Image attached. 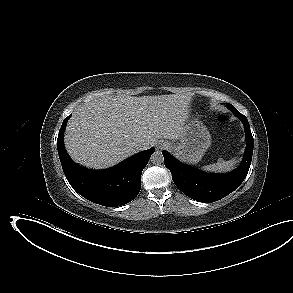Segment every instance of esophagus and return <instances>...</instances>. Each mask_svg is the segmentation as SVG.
<instances>
[{"instance_id":"34e87169","label":"esophagus","mask_w":293,"mask_h":293,"mask_svg":"<svg viewBox=\"0 0 293 293\" xmlns=\"http://www.w3.org/2000/svg\"><path fill=\"white\" fill-rule=\"evenodd\" d=\"M168 144L166 142L164 143H159L158 146H157V150H163V149H166L168 148Z\"/></svg>"}]
</instances>
